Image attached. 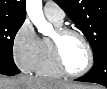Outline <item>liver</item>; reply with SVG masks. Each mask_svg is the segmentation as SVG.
<instances>
[{
	"label": "liver",
	"instance_id": "obj_1",
	"mask_svg": "<svg viewBox=\"0 0 107 89\" xmlns=\"http://www.w3.org/2000/svg\"><path fill=\"white\" fill-rule=\"evenodd\" d=\"M70 86L79 89H101L100 86L71 84L32 75H17L11 78L0 77V89H68Z\"/></svg>",
	"mask_w": 107,
	"mask_h": 89
}]
</instances>
